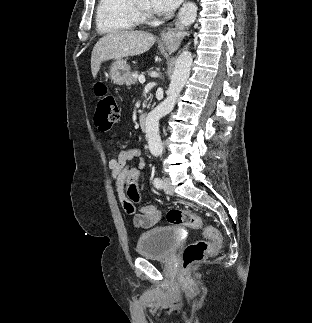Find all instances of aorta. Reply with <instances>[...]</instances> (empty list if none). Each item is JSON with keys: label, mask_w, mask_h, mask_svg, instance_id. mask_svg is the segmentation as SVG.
I'll list each match as a JSON object with an SVG mask.
<instances>
[{"label": "aorta", "mask_w": 312, "mask_h": 323, "mask_svg": "<svg viewBox=\"0 0 312 323\" xmlns=\"http://www.w3.org/2000/svg\"><path fill=\"white\" fill-rule=\"evenodd\" d=\"M193 56L191 52H182L176 60L175 70L171 76L167 98L155 110L148 114L145 122V134L151 154H162L163 146L159 134V120L173 110L176 100L182 92L191 70Z\"/></svg>", "instance_id": "obj_1"}]
</instances>
